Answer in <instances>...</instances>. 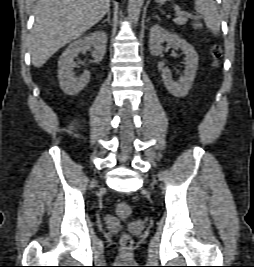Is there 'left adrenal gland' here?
<instances>
[{
    "label": "left adrenal gland",
    "instance_id": "left-adrenal-gland-1",
    "mask_svg": "<svg viewBox=\"0 0 254 267\" xmlns=\"http://www.w3.org/2000/svg\"><path fill=\"white\" fill-rule=\"evenodd\" d=\"M155 18H156V19H159V16L156 15Z\"/></svg>",
    "mask_w": 254,
    "mask_h": 267
}]
</instances>
